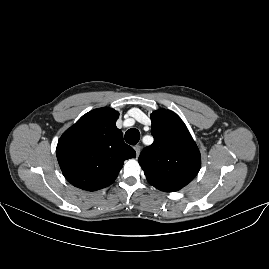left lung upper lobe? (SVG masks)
<instances>
[{
    "label": "left lung upper lobe",
    "mask_w": 269,
    "mask_h": 269,
    "mask_svg": "<svg viewBox=\"0 0 269 269\" xmlns=\"http://www.w3.org/2000/svg\"><path fill=\"white\" fill-rule=\"evenodd\" d=\"M154 142L139 156V164L151 185L182 188L197 175L200 152L182 120L172 111L151 114Z\"/></svg>",
    "instance_id": "obj_1"
}]
</instances>
